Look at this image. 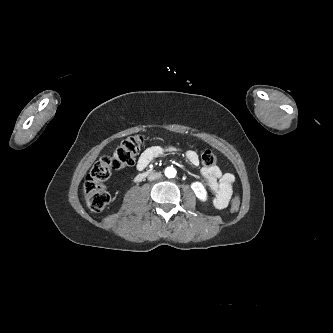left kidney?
Instances as JSON below:
<instances>
[{"label":"left kidney","mask_w":333,"mask_h":333,"mask_svg":"<svg viewBox=\"0 0 333 333\" xmlns=\"http://www.w3.org/2000/svg\"><path fill=\"white\" fill-rule=\"evenodd\" d=\"M191 188L194 191L197 198H199L202 201H205L207 199V192L205 190L204 185L201 182L192 183Z\"/></svg>","instance_id":"5707ae66"}]
</instances>
